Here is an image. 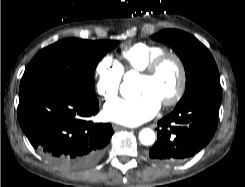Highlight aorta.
<instances>
[{
  "instance_id": "aorta-1",
  "label": "aorta",
  "mask_w": 245,
  "mask_h": 187,
  "mask_svg": "<svg viewBox=\"0 0 245 187\" xmlns=\"http://www.w3.org/2000/svg\"><path fill=\"white\" fill-rule=\"evenodd\" d=\"M121 95L130 101L137 100L140 96L136 80L128 74L125 75L124 81L120 86ZM139 140L143 145H152L155 142V133L149 128H144L139 133Z\"/></svg>"
}]
</instances>
